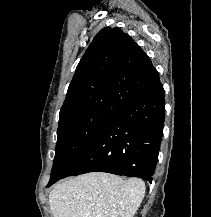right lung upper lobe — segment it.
<instances>
[{"label":"right lung upper lobe","instance_id":"obj_1","mask_svg":"<svg viewBox=\"0 0 211 217\" xmlns=\"http://www.w3.org/2000/svg\"><path fill=\"white\" fill-rule=\"evenodd\" d=\"M159 81L157 70L134 40L120 28L105 27L76 68L59 124L88 113L119 112Z\"/></svg>","mask_w":211,"mask_h":217}]
</instances>
